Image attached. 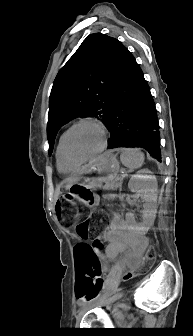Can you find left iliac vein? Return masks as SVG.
<instances>
[{
  "label": "left iliac vein",
  "mask_w": 193,
  "mask_h": 336,
  "mask_svg": "<svg viewBox=\"0 0 193 336\" xmlns=\"http://www.w3.org/2000/svg\"><path fill=\"white\" fill-rule=\"evenodd\" d=\"M123 295H124V293H123V292H120V293H118V294H116V295H114V296H112V297H109V298L106 300V302L104 303V305H110V304L114 303L116 300L122 298ZM89 309H90V307H89V306H86V307H84V308L79 312V314H78V316H77V322H79V321L81 320V318L84 316V314L86 313V311L89 310Z\"/></svg>",
  "instance_id": "1"
}]
</instances>
